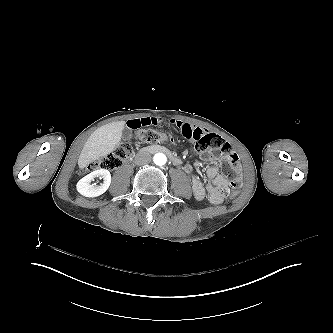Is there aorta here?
Masks as SVG:
<instances>
[{"label": "aorta", "mask_w": 333, "mask_h": 333, "mask_svg": "<svg viewBox=\"0 0 333 333\" xmlns=\"http://www.w3.org/2000/svg\"><path fill=\"white\" fill-rule=\"evenodd\" d=\"M153 161L156 165L162 166L166 163L167 157L163 153H157V154L154 155Z\"/></svg>", "instance_id": "aorta-1"}]
</instances>
